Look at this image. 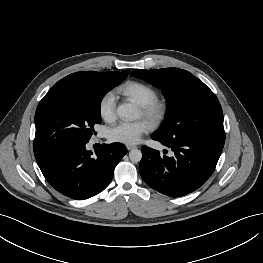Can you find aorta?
Returning a JSON list of instances; mask_svg holds the SVG:
<instances>
[{"label":"aorta","instance_id":"762f6f07","mask_svg":"<svg viewBox=\"0 0 263 263\" xmlns=\"http://www.w3.org/2000/svg\"><path fill=\"white\" fill-rule=\"evenodd\" d=\"M117 114L121 118L134 120L138 118L139 112L137 108L131 103H124L117 108ZM129 158L132 162H139L142 159V153L138 149H132L129 152Z\"/></svg>","mask_w":263,"mask_h":263}]
</instances>
